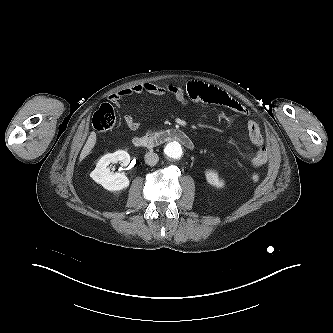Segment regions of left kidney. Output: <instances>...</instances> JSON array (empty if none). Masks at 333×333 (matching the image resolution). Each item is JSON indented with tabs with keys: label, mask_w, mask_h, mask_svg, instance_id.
<instances>
[{
	"label": "left kidney",
	"mask_w": 333,
	"mask_h": 333,
	"mask_svg": "<svg viewBox=\"0 0 333 333\" xmlns=\"http://www.w3.org/2000/svg\"><path fill=\"white\" fill-rule=\"evenodd\" d=\"M207 182L217 188L224 187V181L219 179V176L217 172H214L212 170L206 171L205 173Z\"/></svg>",
	"instance_id": "obj_1"
}]
</instances>
